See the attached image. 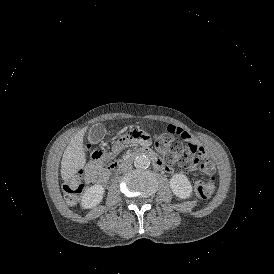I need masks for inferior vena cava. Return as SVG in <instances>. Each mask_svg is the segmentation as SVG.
I'll list each match as a JSON object with an SVG mask.
<instances>
[{
	"label": "inferior vena cava",
	"mask_w": 274,
	"mask_h": 274,
	"mask_svg": "<svg viewBox=\"0 0 274 274\" xmlns=\"http://www.w3.org/2000/svg\"><path fill=\"white\" fill-rule=\"evenodd\" d=\"M132 166L130 164L125 165L122 169L123 170H130Z\"/></svg>",
	"instance_id": "1"
}]
</instances>
